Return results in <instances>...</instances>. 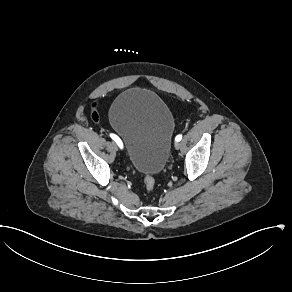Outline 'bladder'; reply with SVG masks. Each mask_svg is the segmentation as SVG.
Returning a JSON list of instances; mask_svg holds the SVG:
<instances>
[{"label":"bladder","mask_w":292,"mask_h":292,"mask_svg":"<svg viewBox=\"0 0 292 292\" xmlns=\"http://www.w3.org/2000/svg\"><path fill=\"white\" fill-rule=\"evenodd\" d=\"M109 120L123 139L126 157L136 171L155 175L164 169L175 121L161 97L148 89H127L113 102Z\"/></svg>","instance_id":"obj_1"}]
</instances>
